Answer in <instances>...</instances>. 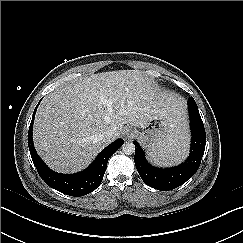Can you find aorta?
I'll use <instances>...</instances> for the list:
<instances>
[{
  "instance_id": "obj_1",
  "label": "aorta",
  "mask_w": 243,
  "mask_h": 243,
  "mask_svg": "<svg viewBox=\"0 0 243 243\" xmlns=\"http://www.w3.org/2000/svg\"><path fill=\"white\" fill-rule=\"evenodd\" d=\"M122 152L126 155H132L135 152V145L132 142H125L122 145Z\"/></svg>"
}]
</instances>
